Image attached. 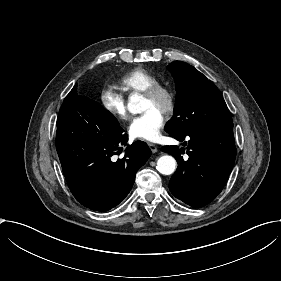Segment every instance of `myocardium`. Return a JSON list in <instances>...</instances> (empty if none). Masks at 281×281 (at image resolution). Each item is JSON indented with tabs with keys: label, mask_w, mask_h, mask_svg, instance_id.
<instances>
[{
	"label": "myocardium",
	"mask_w": 281,
	"mask_h": 281,
	"mask_svg": "<svg viewBox=\"0 0 281 281\" xmlns=\"http://www.w3.org/2000/svg\"><path fill=\"white\" fill-rule=\"evenodd\" d=\"M145 99L150 101L153 105L157 106L161 113L168 115L175 107V99L170 89L162 86L155 85L143 93Z\"/></svg>",
	"instance_id": "f54148a6"
}]
</instances>
